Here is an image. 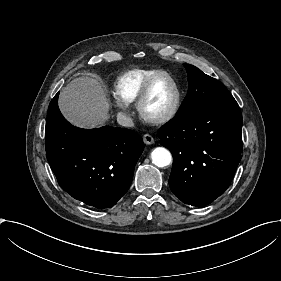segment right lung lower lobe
<instances>
[{
	"label": "right lung lower lobe",
	"instance_id": "obj_1",
	"mask_svg": "<svg viewBox=\"0 0 281 281\" xmlns=\"http://www.w3.org/2000/svg\"><path fill=\"white\" fill-rule=\"evenodd\" d=\"M57 93L46 120V156L61 188L86 205L112 207L127 192L142 138L134 131L101 127L81 129L62 116Z\"/></svg>",
	"mask_w": 281,
	"mask_h": 281
}]
</instances>
